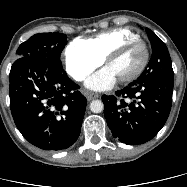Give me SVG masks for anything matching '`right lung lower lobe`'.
I'll use <instances>...</instances> for the list:
<instances>
[{"label":"right lung lower lobe","instance_id":"right-lung-lower-lobe-1","mask_svg":"<svg viewBox=\"0 0 187 187\" xmlns=\"http://www.w3.org/2000/svg\"><path fill=\"white\" fill-rule=\"evenodd\" d=\"M9 81L11 113L27 141L53 151L76 142L87 100L62 64L21 57L13 63Z\"/></svg>","mask_w":187,"mask_h":187}]
</instances>
